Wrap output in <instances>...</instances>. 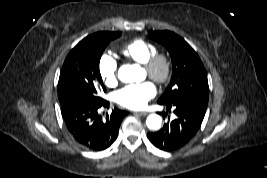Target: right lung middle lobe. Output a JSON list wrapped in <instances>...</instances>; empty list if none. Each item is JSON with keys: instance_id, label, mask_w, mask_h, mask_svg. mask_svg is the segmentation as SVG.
<instances>
[{"instance_id": "obj_1", "label": "right lung middle lobe", "mask_w": 267, "mask_h": 178, "mask_svg": "<svg viewBox=\"0 0 267 178\" xmlns=\"http://www.w3.org/2000/svg\"><path fill=\"white\" fill-rule=\"evenodd\" d=\"M121 32H98L80 41L68 54L61 69L58 82L59 101L71 96H83L96 101L106 91L99 62L111 40Z\"/></svg>"}]
</instances>
